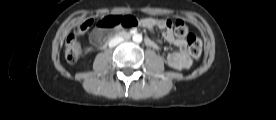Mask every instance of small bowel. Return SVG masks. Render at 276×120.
Returning <instances> with one entry per match:
<instances>
[{
	"label": "small bowel",
	"mask_w": 276,
	"mask_h": 120,
	"mask_svg": "<svg viewBox=\"0 0 276 120\" xmlns=\"http://www.w3.org/2000/svg\"><path fill=\"white\" fill-rule=\"evenodd\" d=\"M141 21H142L141 26L143 27L150 28V29L152 28L162 29L163 30L162 34L164 39L168 43L173 44L180 48V51L168 53L165 56V62L168 66L177 70L186 69L191 66L192 60L186 51V47H187L186 40L175 37L171 29V26L167 24L166 20L144 18ZM100 34L101 32L96 30V31H93L90 35V40L94 47H98L101 45L102 39L99 38ZM146 45L151 48L158 49V45L152 39H149V43H146Z\"/></svg>",
	"instance_id": "obj_1"
}]
</instances>
